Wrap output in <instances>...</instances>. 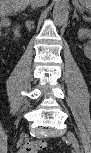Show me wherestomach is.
<instances>
[{
    "label": "stomach",
    "mask_w": 91,
    "mask_h": 153,
    "mask_svg": "<svg viewBox=\"0 0 91 153\" xmlns=\"http://www.w3.org/2000/svg\"><path fill=\"white\" fill-rule=\"evenodd\" d=\"M84 6L90 7L91 1L90 0H81L80 1Z\"/></svg>",
    "instance_id": "1"
}]
</instances>
